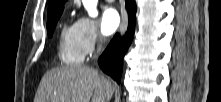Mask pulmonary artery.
<instances>
[{
  "label": "pulmonary artery",
  "mask_w": 221,
  "mask_h": 102,
  "mask_svg": "<svg viewBox=\"0 0 221 102\" xmlns=\"http://www.w3.org/2000/svg\"><path fill=\"white\" fill-rule=\"evenodd\" d=\"M107 2H113L114 0H106Z\"/></svg>",
  "instance_id": "1"
}]
</instances>
